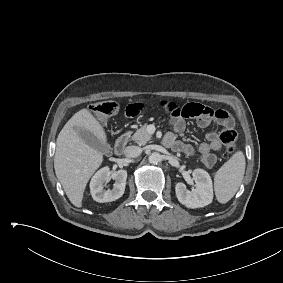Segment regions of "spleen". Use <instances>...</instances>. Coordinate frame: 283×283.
Listing matches in <instances>:
<instances>
[{"mask_svg":"<svg viewBox=\"0 0 283 283\" xmlns=\"http://www.w3.org/2000/svg\"><path fill=\"white\" fill-rule=\"evenodd\" d=\"M245 164L244 154L238 151L216 172L214 190L218 202L227 203L235 195L244 177Z\"/></svg>","mask_w":283,"mask_h":283,"instance_id":"obj_1","label":"spleen"}]
</instances>
